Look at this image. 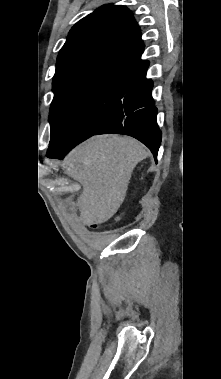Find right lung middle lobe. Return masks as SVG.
Segmentation results:
<instances>
[{
	"mask_svg": "<svg viewBox=\"0 0 221 379\" xmlns=\"http://www.w3.org/2000/svg\"><path fill=\"white\" fill-rule=\"evenodd\" d=\"M122 79L99 78L56 93L50 107V145L92 136L114 108Z\"/></svg>",
	"mask_w": 221,
	"mask_h": 379,
	"instance_id": "1",
	"label": "right lung middle lobe"
}]
</instances>
